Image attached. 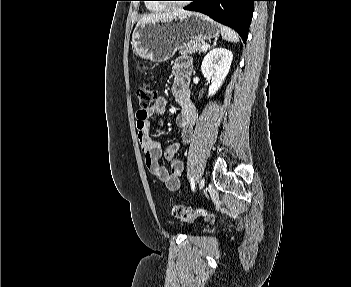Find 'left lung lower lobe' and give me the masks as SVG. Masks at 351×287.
Wrapping results in <instances>:
<instances>
[{
	"label": "left lung lower lobe",
	"instance_id": "1",
	"mask_svg": "<svg viewBox=\"0 0 351 287\" xmlns=\"http://www.w3.org/2000/svg\"><path fill=\"white\" fill-rule=\"evenodd\" d=\"M185 10L201 12L215 21L235 29L246 42L256 0H191Z\"/></svg>",
	"mask_w": 351,
	"mask_h": 287
}]
</instances>
